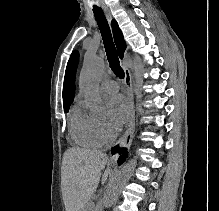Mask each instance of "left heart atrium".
I'll list each match as a JSON object with an SVG mask.
<instances>
[{
    "mask_svg": "<svg viewBox=\"0 0 219 211\" xmlns=\"http://www.w3.org/2000/svg\"><path fill=\"white\" fill-rule=\"evenodd\" d=\"M109 117L115 127H121L129 117V106L124 97L117 95L108 103Z\"/></svg>",
    "mask_w": 219,
    "mask_h": 211,
    "instance_id": "39dd6f15",
    "label": "left heart atrium"
}]
</instances>
